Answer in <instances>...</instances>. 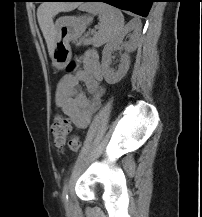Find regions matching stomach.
Instances as JSON below:
<instances>
[{
    "mask_svg": "<svg viewBox=\"0 0 202 217\" xmlns=\"http://www.w3.org/2000/svg\"><path fill=\"white\" fill-rule=\"evenodd\" d=\"M90 22L91 18L75 16H63L56 21L52 60L57 69H63L69 63L70 42L76 41Z\"/></svg>",
    "mask_w": 202,
    "mask_h": 217,
    "instance_id": "0dacf381",
    "label": "stomach"
}]
</instances>
